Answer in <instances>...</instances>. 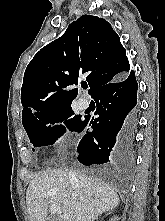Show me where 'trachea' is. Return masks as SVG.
<instances>
[{
	"label": "trachea",
	"mask_w": 165,
	"mask_h": 221,
	"mask_svg": "<svg viewBox=\"0 0 165 221\" xmlns=\"http://www.w3.org/2000/svg\"><path fill=\"white\" fill-rule=\"evenodd\" d=\"M81 86H82V88H84V89H86V88L88 87L87 83H84V84H82Z\"/></svg>",
	"instance_id": "trachea-1"
}]
</instances>
